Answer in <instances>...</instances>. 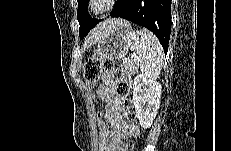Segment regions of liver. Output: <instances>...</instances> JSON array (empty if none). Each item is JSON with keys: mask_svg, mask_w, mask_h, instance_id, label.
Instances as JSON below:
<instances>
[{"mask_svg": "<svg viewBox=\"0 0 231 151\" xmlns=\"http://www.w3.org/2000/svg\"><path fill=\"white\" fill-rule=\"evenodd\" d=\"M127 21L122 19H110L106 20L103 23L99 24L96 28H94L90 35L86 38L84 43V49L89 48L93 44H95L97 41L100 40V38L104 35V33L107 30H110L114 28L115 26H122L126 25Z\"/></svg>", "mask_w": 231, "mask_h": 151, "instance_id": "1", "label": "liver"}]
</instances>
